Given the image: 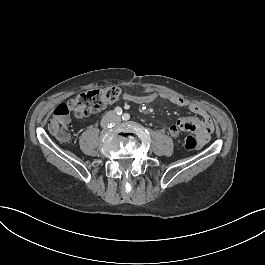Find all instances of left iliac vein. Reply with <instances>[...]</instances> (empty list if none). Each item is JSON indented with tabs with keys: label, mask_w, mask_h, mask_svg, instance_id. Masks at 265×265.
Instances as JSON below:
<instances>
[{
	"label": "left iliac vein",
	"mask_w": 265,
	"mask_h": 265,
	"mask_svg": "<svg viewBox=\"0 0 265 265\" xmlns=\"http://www.w3.org/2000/svg\"><path fill=\"white\" fill-rule=\"evenodd\" d=\"M119 119H120V117H115V120H116V121H119Z\"/></svg>",
	"instance_id": "obj_1"
}]
</instances>
